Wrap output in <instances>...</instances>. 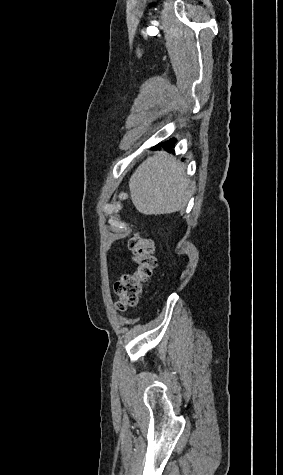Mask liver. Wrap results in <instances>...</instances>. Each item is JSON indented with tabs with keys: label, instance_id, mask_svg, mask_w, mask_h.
<instances>
[{
	"label": "liver",
	"instance_id": "liver-1",
	"mask_svg": "<svg viewBox=\"0 0 283 475\" xmlns=\"http://www.w3.org/2000/svg\"><path fill=\"white\" fill-rule=\"evenodd\" d=\"M189 180L176 158L156 152L142 162L129 180L131 200L146 216L179 212L187 204Z\"/></svg>",
	"mask_w": 283,
	"mask_h": 475
}]
</instances>
